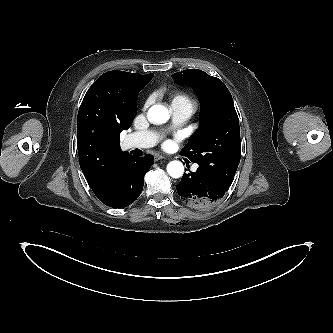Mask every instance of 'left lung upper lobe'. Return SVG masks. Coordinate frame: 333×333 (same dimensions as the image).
Returning a JSON list of instances; mask_svg holds the SVG:
<instances>
[{
    "label": "left lung upper lobe",
    "mask_w": 333,
    "mask_h": 333,
    "mask_svg": "<svg viewBox=\"0 0 333 333\" xmlns=\"http://www.w3.org/2000/svg\"><path fill=\"white\" fill-rule=\"evenodd\" d=\"M172 77L190 84L201 103L200 129L180 154L230 187L240 162L241 141L239 119L229 90L218 78L197 69L174 73Z\"/></svg>",
    "instance_id": "left-lung-upper-lobe-1"
}]
</instances>
